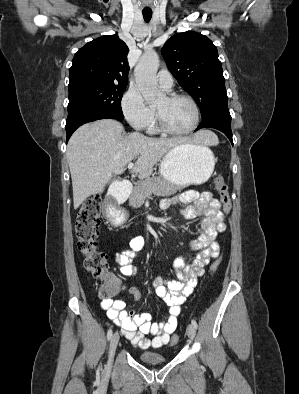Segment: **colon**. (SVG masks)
<instances>
[{
    "mask_svg": "<svg viewBox=\"0 0 299 394\" xmlns=\"http://www.w3.org/2000/svg\"><path fill=\"white\" fill-rule=\"evenodd\" d=\"M214 185L219 193L222 212L226 215L231 209L229 187L222 176H217ZM102 198L95 194L88 198L80 208L75 224L78 237V249L83 254L85 270L99 281L98 295L103 300H112L121 290L120 279L111 271L110 265L104 252L98 250L97 237L100 225V208ZM220 265V259L216 258L211 267V273H215ZM178 342V336L171 338V344Z\"/></svg>",
    "mask_w": 299,
    "mask_h": 394,
    "instance_id": "5ec220e1",
    "label": "colon"
}]
</instances>
